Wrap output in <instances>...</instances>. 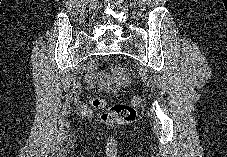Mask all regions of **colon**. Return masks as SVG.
<instances>
[{
    "label": "colon",
    "mask_w": 227,
    "mask_h": 157,
    "mask_svg": "<svg viewBox=\"0 0 227 157\" xmlns=\"http://www.w3.org/2000/svg\"><path fill=\"white\" fill-rule=\"evenodd\" d=\"M89 102L96 109L103 108L108 103L106 99L102 98H91ZM141 103V98L134 95L131 97V104L115 103L110 105L107 111L102 114L101 119L109 123L133 120L136 116L135 108L140 106Z\"/></svg>",
    "instance_id": "obj_1"
}]
</instances>
